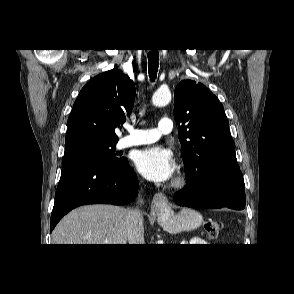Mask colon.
<instances>
[{
  "label": "colon",
  "mask_w": 294,
  "mask_h": 294,
  "mask_svg": "<svg viewBox=\"0 0 294 294\" xmlns=\"http://www.w3.org/2000/svg\"><path fill=\"white\" fill-rule=\"evenodd\" d=\"M222 229L223 223L219 221H208L205 224V231L207 233V236L213 240L219 236Z\"/></svg>",
  "instance_id": "1"
}]
</instances>
